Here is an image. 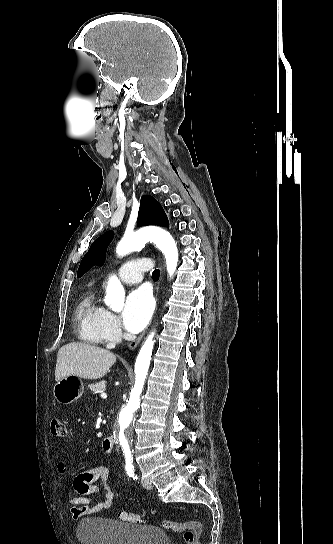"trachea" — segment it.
Returning a JSON list of instances; mask_svg holds the SVG:
<instances>
[{
  "instance_id": "3493384b",
  "label": "trachea",
  "mask_w": 333,
  "mask_h": 544,
  "mask_svg": "<svg viewBox=\"0 0 333 544\" xmlns=\"http://www.w3.org/2000/svg\"><path fill=\"white\" fill-rule=\"evenodd\" d=\"M159 275H160V272L158 269L154 270L153 273H152V277L155 281H157L159 279Z\"/></svg>"
}]
</instances>
